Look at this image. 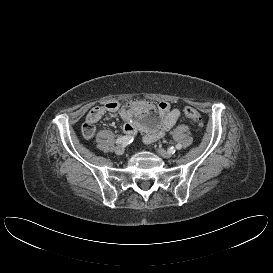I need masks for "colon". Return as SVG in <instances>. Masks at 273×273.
<instances>
[{
  "label": "colon",
  "instance_id": "obj_1",
  "mask_svg": "<svg viewBox=\"0 0 273 273\" xmlns=\"http://www.w3.org/2000/svg\"><path fill=\"white\" fill-rule=\"evenodd\" d=\"M184 115L188 120H190L194 123H197L199 125L202 124L201 115L195 108L185 107L184 108Z\"/></svg>",
  "mask_w": 273,
  "mask_h": 273
}]
</instances>
